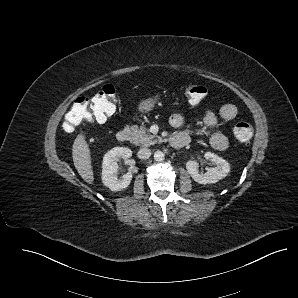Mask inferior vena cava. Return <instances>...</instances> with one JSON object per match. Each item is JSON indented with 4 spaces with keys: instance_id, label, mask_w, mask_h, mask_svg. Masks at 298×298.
<instances>
[{
    "instance_id": "obj_1",
    "label": "inferior vena cava",
    "mask_w": 298,
    "mask_h": 298,
    "mask_svg": "<svg viewBox=\"0 0 298 298\" xmlns=\"http://www.w3.org/2000/svg\"><path fill=\"white\" fill-rule=\"evenodd\" d=\"M137 156L139 159H143L146 160L151 156V150L148 148H141L138 152H137Z\"/></svg>"
}]
</instances>
